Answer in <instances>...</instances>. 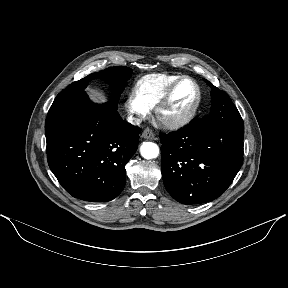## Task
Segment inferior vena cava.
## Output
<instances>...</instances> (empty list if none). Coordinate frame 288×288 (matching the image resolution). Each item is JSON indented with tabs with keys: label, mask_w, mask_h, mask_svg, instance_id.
<instances>
[{
	"label": "inferior vena cava",
	"mask_w": 288,
	"mask_h": 288,
	"mask_svg": "<svg viewBox=\"0 0 288 288\" xmlns=\"http://www.w3.org/2000/svg\"><path fill=\"white\" fill-rule=\"evenodd\" d=\"M127 121L133 125H138L141 123V119L133 117L132 115H129L127 117Z\"/></svg>",
	"instance_id": "1"
}]
</instances>
